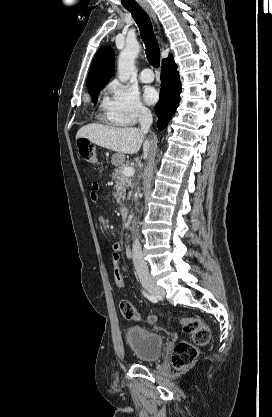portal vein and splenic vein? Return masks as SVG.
<instances>
[{
    "mask_svg": "<svg viewBox=\"0 0 272 417\" xmlns=\"http://www.w3.org/2000/svg\"><path fill=\"white\" fill-rule=\"evenodd\" d=\"M125 176H133L135 173V169L133 167H126L123 171Z\"/></svg>",
    "mask_w": 272,
    "mask_h": 417,
    "instance_id": "18ae733b",
    "label": "portal vein and splenic vein"
}]
</instances>
